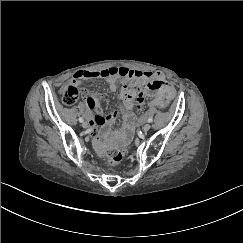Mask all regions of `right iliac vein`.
<instances>
[{
	"mask_svg": "<svg viewBox=\"0 0 243 243\" xmlns=\"http://www.w3.org/2000/svg\"><path fill=\"white\" fill-rule=\"evenodd\" d=\"M82 127H83V128H87V127H88V123H87L86 121H84V122L82 123Z\"/></svg>",
	"mask_w": 243,
	"mask_h": 243,
	"instance_id": "63e3f726",
	"label": "right iliac vein"
}]
</instances>
